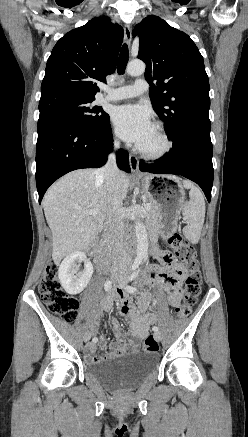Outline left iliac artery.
I'll return each mask as SVG.
<instances>
[{
  "label": "left iliac artery",
  "instance_id": "obj_1",
  "mask_svg": "<svg viewBox=\"0 0 248 437\" xmlns=\"http://www.w3.org/2000/svg\"><path fill=\"white\" fill-rule=\"evenodd\" d=\"M138 273H139V270H138V271H135L134 273H132V274L130 275V277H129V280H130V281L135 280V279L137 278V276H138ZM125 289H126L129 293H134V292L137 290V289H136L135 287H133V286H126ZM155 303H156V300H154V303H153V304H155ZM152 330L156 332V331H158L159 329H158L157 326H153V327H152Z\"/></svg>",
  "mask_w": 248,
  "mask_h": 437
}]
</instances>
